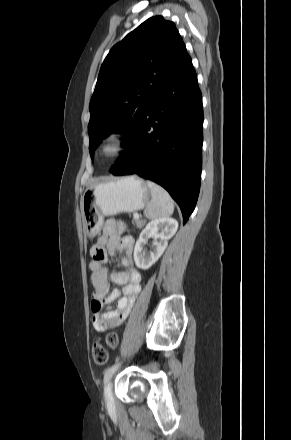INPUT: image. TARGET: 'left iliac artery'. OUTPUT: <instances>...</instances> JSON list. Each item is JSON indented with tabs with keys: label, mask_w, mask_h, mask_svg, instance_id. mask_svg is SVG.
<instances>
[{
	"label": "left iliac artery",
	"mask_w": 291,
	"mask_h": 440,
	"mask_svg": "<svg viewBox=\"0 0 291 440\" xmlns=\"http://www.w3.org/2000/svg\"><path fill=\"white\" fill-rule=\"evenodd\" d=\"M118 366H119V363H116L105 370L104 379H103L104 384H106L108 382V380L111 378L112 374L116 371Z\"/></svg>",
	"instance_id": "1"
}]
</instances>
